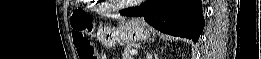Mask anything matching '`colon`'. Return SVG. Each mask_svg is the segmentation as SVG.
<instances>
[{
  "label": "colon",
  "instance_id": "5ec220e1",
  "mask_svg": "<svg viewBox=\"0 0 261 59\" xmlns=\"http://www.w3.org/2000/svg\"><path fill=\"white\" fill-rule=\"evenodd\" d=\"M74 46L80 59H97V54L89 37L93 32L91 20L75 11L70 19Z\"/></svg>",
  "mask_w": 261,
  "mask_h": 59
}]
</instances>
